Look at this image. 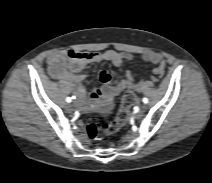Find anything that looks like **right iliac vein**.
Listing matches in <instances>:
<instances>
[{"label": "right iliac vein", "instance_id": "obj_1", "mask_svg": "<svg viewBox=\"0 0 212 183\" xmlns=\"http://www.w3.org/2000/svg\"><path fill=\"white\" fill-rule=\"evenodd\" d=\"M65 108L68 112H71L73 110V105L71 103H69L65 106Z\"/></svg>", "mask_w": 212, "mask_h": 183}]
</instances>
